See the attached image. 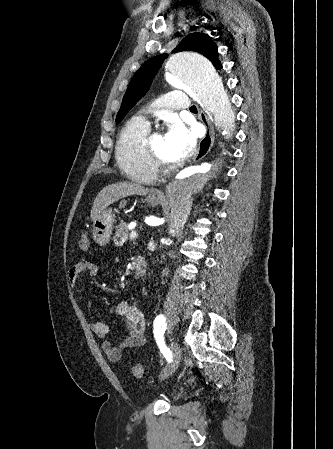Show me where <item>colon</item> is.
<instances>
[{
    "mask_svg": "<svg viewBox=\"0 0 333 449\" xmlns=\"http://www.w3.org/2000/svg\"><path fill=\"white\" fill-rule=\"evenodd\" d=\"M78 244H79V248L82 251H86L89 249L90 237L87 232H83L82 234H80V236L78 238ZM132 372H133V375L137 378H141L145 374L144 367L140 364L134 365L132 368Z\"/></svg>",
    "mask_w": 333,
    "mask_h": 449,
    "instance_id": "colon-1",
    "label": "colon"
}]
</instances>
